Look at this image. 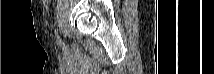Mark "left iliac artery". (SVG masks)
Instances as JSON below:
<instances>
[{
	"label": "left iliac artery",
	"mask_w": 214,
	"mask_h": 74,
	"mask_svg": "<svg viewBox=\"0 0 214 74\" xmlns=\"http://www.w3.org/2000/svg\"><path fill=\"white\" fill-rule=\"evenodd\" d=\"M55 35H56V37H57L59 43L64 45V43L62 42V40L60 39V37H59V35H58V31H57V30H55Z\"/></svg>",
	"instance_id": "left-iliac-artery-1"
}]
</instances>
